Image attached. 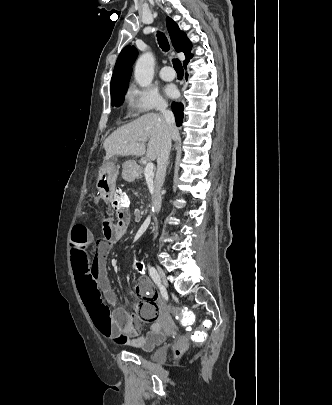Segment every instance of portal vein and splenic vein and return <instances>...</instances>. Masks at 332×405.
<instances>
[{"instance_id":"1","label":"portal vein and splenic vein","mask_w":332,"mask_h":405,"mask_svg":"<svg viewBox=\"0 0 332 405\" xmlns=\"http://www.w3.org/2000/svg\"><path fill=\"white\" fill-rule=\"evenodd\" d=\"M144 175L146 180H149L154 176V165L152 162L147 163L144 170Z\"/></svg>"}]
</instances>
